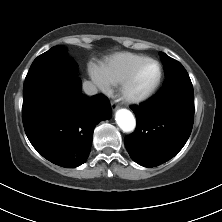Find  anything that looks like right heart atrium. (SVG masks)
I'll return each instance as SVG.
<instances>
[{
	"label": "right heart atrium",
	"instance_id": "1",
	"mask_svg": "<svg viewBox=\"0 0 222 222\" xmlns=\"http://www.w3.org/2000/svg\"><path fill=\"white\" fill-rule=\"evenodd\" d=\"M90 74H91L93 80L96 82L99 89L101 90V92H103L105 94L110 92L109 85L101 79V77L98 73V69H96L95 67H91L90 68Z\"/></svg>",
	"mask_w": 222,
	"mask_h": 222
}]
</instances>
